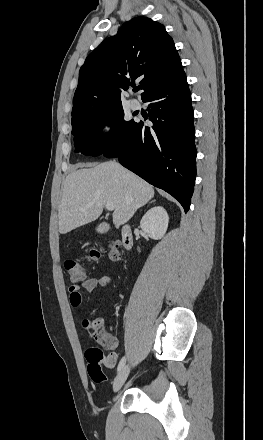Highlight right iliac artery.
<instances>
[{"label": "right iliac artery", "instance_id": "1", "mask_svg": "<svg viewBox=\"0 0 263 440\" xmlns=\"http://www.w3.org/2000/svg\"><path fill=\"white\" fill-rule=\"evenodd\" d=\"M125 362H126L125 357H122V359H121L120 362H119L118 368H117V371H118V372L124 367Z\"/></svg>", "mask_w": 263, "mask_h": 440}]
</instances>
